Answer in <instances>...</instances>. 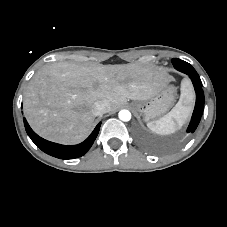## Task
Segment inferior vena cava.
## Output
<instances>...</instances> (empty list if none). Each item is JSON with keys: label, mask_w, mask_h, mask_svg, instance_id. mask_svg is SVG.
<instances>
[{"label": "inferior vena cava", "mask_w": 227, "mask_h": 227, "mask_svg": "<svg viewBox=\"0 0 227 227\" xmlns=\"http://www.w3.org/2000/svg\"><path fill=\"white\" fill-rule=\"evenodd\" d=\"M108 108H109V102L107 100H99L94 104L93 115L94 116L102 115L108 112Z\"/></svg>", "instance_id": "1"}]
</instances>
